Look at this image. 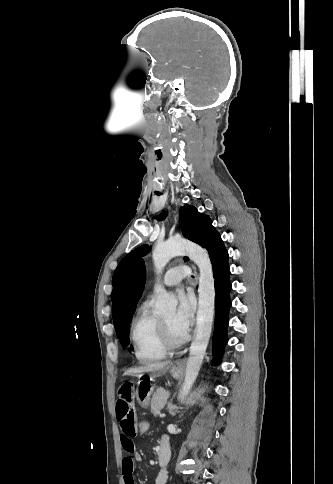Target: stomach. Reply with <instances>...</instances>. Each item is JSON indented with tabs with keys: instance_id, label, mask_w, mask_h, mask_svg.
Segmentation results:
<instances>
[{
	"instance_id": "1",
	"label": "stomach",
	"mask_w": 333,
	"mask_h": 484,
	"mask_svg": "<svg viewBox=\"0 0 333 484\" xmlns=\"http://www.w3.org/2000/svg\"><path fill=\"white\" fill-rule=\"evenodd\" d=\"M168 370L174 379H178L181 375L182 367L177 364H171ZM153 391H154V388L150 381L148 380L138 381L136 398L142 407H147L149 405Z\"/></svg>"
}]
</instances>
